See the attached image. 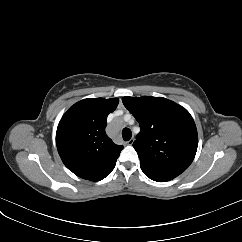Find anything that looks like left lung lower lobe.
<instances>
[{"mask_svg":"<svg viewBox=\"0 0 242 242\" xmlns=\"http://www.w3.org/2000/svg\"><path fill=\"white\" fill-rule=\"evenodd\" d=\"M150 179L157 181V182H165V181H169L173 178H166V177H150L148 176Z\"/></svg>","mask_w":242,"mask_h":242,"instance_id":"0a47b994","label":"left lung lower lobe"}]
</instances>
